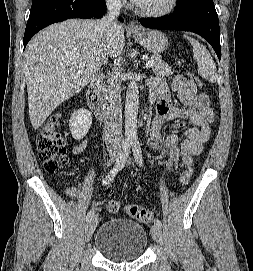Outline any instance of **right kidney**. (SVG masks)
Returning <instances> with one entry per match:
<instances>
[{
    "mask_svg": "<svg viewBox=\"0 0 253 271\" xmlns=\"http://www.w3.org/2000/svg\"><path fill=\"white\" fill-rule=\"evenodd\" d=\"M92 124V114L87 109H79L71 114L69 128L72 137L76 140L82 139L89 131Z\"/></svg>",
    "mask_w": 253,
    "mask_h": 271,
    "instance_id": "ca27d5eb",
    "label": "right kidney"
}]
</instances>
